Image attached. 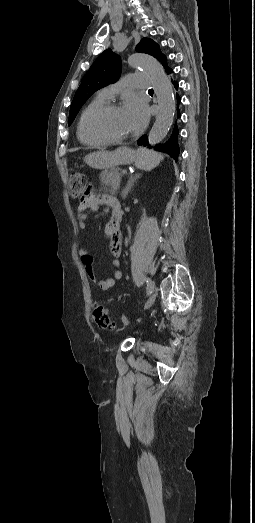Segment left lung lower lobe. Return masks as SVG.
Here are the masks:
<instances>
[{"mask_svg":"<svg viewBox=\"0 0 255 523\" xmlns=\"http://www.w3.org/2000/svg\"><path fill=\"white\" fill-rule=\"evenodd\" d=\"M170 81L172 83V88H175V91H178L179 88V82L178 80H173V78H170ZM174 97H176V105H179L181 103V97H177V94H174ZM177 119H182L181 116V109H178V116ZM147 133H150V130H147ZM171 134L178 135L180 134V129H178V124H173V129H171ZM150 137H140V139L137 141V144L140 146V148H145V145L149 144ZM178 137H168V139L165 141L164 147H162L163 142L160 139L155 140L154 145L157 147V152L159 154L164 153H170L171 160L173 162H177L180 160V154L178 149ZM150 147H153V144H150Z\"/></svg>","mask_w":255,"mask_h":523,"instance_id":"0a47b994","label":"left lung lower lobe"}]
</instances>
